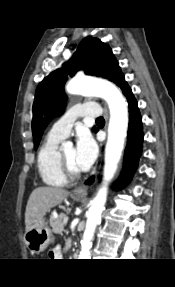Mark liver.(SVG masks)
<instances>
[{"label": "liver", "mask_w": 175, "mask_h": 287, "mask_svg": "<svg viewBox=\"0 0 175 287\" xmlns=\"http://www.w3.org/2000/svg\"><path fill=\"white\" fill-rule=\"evenodd\" d=\"M69 192L62 188L42 186L34 189L29 196L25 210V225L28 230L36 221L43 220L47 211L60 204Z\"/></svg>", "instance_id": "1"}]
</instances>
